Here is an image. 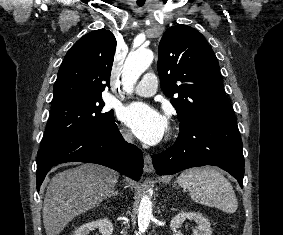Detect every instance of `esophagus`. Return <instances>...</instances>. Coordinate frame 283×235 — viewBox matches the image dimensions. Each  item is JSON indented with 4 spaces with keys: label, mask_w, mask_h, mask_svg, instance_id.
<instances>
[{
    "label": "esophagus",
    "mask_w": 283,
    "mask_h": 235,
    "mask_svg": "<svg viewBox=\"0 0 283 235\" xmlns=\"http://www.w3.org/2000/svg\"><path fill=\"white\" fill-rule=\"evenodd\" d=\"M154 170L153 164H152V158L149 154L144 156V171L146 173H152Z\"/></svg>",
    "instance_id": "34e87169"
}]
</instances>
